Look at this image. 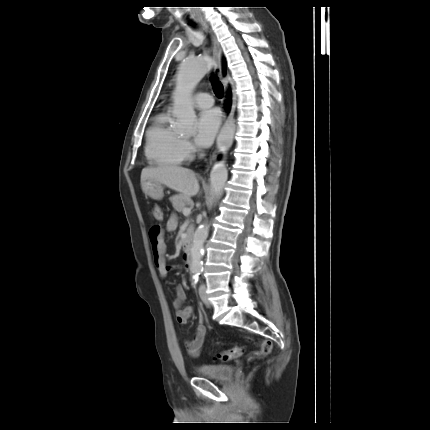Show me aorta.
Returning <instances> with one entry per match:
<instances>
[{"label":"aorta","instance_id":"762f6f07","mask_svg":"<svg viewBox=\"0 0 430 430\" xmlns=\"http://www.w3.org/2000/svg\"><path fill=\"white\" fill-rule=\"evenodd\" d=\"M211 60L204 57L186 58L180 63L176 88L172 96V113L176 117L175 128L183 134H191L194 130L196 114L190 100V96L199 81L210 70ZM236 127L233 122L223 125L217 137V148L222 154H226L231 147ZM228 178L225 161L221 160L214 164L210 173V183L214 199L218 200L222 194ZM209 225L201 224L196 229L190 248V270L198 273L203 269L202 258L204 255V243L208 237Z\"/></svg>","mask_w":430,"mask_h":430}]
</instances>
